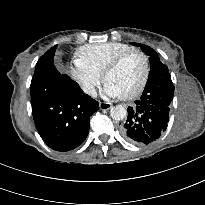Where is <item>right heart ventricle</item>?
<instances>
[{"instance_id": "obj_1", "label": "right heart ventricle", "mask_w": 205, "mask_h": 205, "mask_svg": "<svg viewBox=\"0 0 205 205\" xmlns=\"http://www.w3.org/2000/svg\"><path fill=\"white\" fill-rule=\"evenodd\" d=\"M130 48L131 46L121 42L88 44L78 49L77 59L101 76L106 65L115 56Z\"/></svg>"}]
</instances>
